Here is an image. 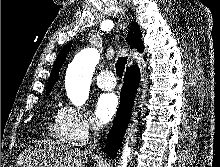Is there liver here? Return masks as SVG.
I'll return each mask as SVG.
<instances>
[{
  "label": "liver",
  "instance_id": "1",
  "mask_svg": "<svg viewBox=\"0 0 220 167\" xmlns=\"http://www.w3.org/2000/svg\"><path fill=\"white\" fill-rule=\"evenodd\" d=\"M87 155V151L78 147L35 140L18 156L15 167H85Z\"/></svg>",
  "mask_w": 220,
  "mask_h": 167
}]
</instances>
